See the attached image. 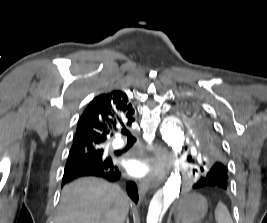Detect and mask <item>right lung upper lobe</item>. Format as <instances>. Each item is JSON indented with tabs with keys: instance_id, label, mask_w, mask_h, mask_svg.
<instances>
[{
	"instance_id": "right-lung-upper-lobe-1",
	"label": "right lung upper lobe",
	"mask_w": 267,
	"mask_h": 223,
	"mask_svg": "<svg viewBox=\"0 0 267 223\" xmlns=\"http://www.w3.org/2000/svg\"><path fill=\"white\" fill-rule=\"evenodd\" d=\"M133 122L134 109L125 93L114 90L98 95L81 115L71 149L83 145L103 148L109 136Z\"/></svg>"
}]
</instances>
